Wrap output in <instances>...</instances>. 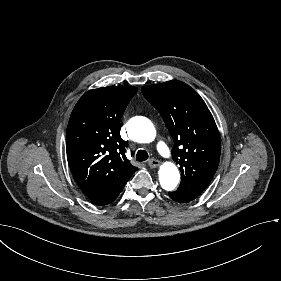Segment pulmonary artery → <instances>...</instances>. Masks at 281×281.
<instances>
[{
    "instance_id": "pulmonary-artery-1",
    "label": "pulmonary artery",
    "mask_w": 281,
    "mask_h": 281,
    "mask_svg": "<svg viewBox=\"0 0 281 281\" xmlns=\"http://www.w3.org/2000/svg\"><path fill=\"white\" fill-rule=\"evenodd\" d=\"M154 146L157 148L159 153L163 155V157L169 161L172 162L176 159L177 154L174 151L172 147L168 145V143L165 141V139L161 136H158L153 141Z\"/></svg>"
}]
</instances>
